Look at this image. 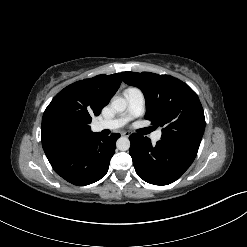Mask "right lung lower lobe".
<instances>
[{"label":"right lung lower lobe","instance_id":"obj_1","mask_svg":"<svg viewBox=\"0 0 247 247\" xmlns=\"http://www.w3.org/2000/svg\"><path fill=\"white\" fill-rule=\"evenodd\" d=\"M120 135H93L82 145L47 156L55 172L74 185H88L100 180L108 171Z\"/></svg>","mask_w":247,"mask_h":247}]
</instances>
